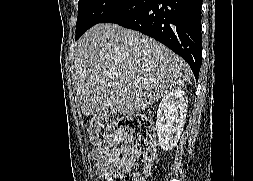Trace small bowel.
Masks as SVG:
<instances>
[{"instance_id":"1","label":"small bowel","mask_w":253,"mask_h":181,"mask_svg":"<svg viewBox=\"0 0 253 181\" xmlns=\"http://www.w3.org/2000/svg\"><path fill=\"white\" fill-rule=\"evenodd\" d=\"M122 149L112 148H96L92 151V158L95 163L96 174L104 178H107L116 172L121 164L119 154L122 153Z\"/></svg>"}]
</instances>
